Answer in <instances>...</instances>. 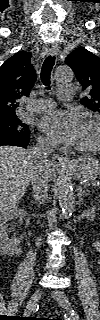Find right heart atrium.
I'll list each match as a JSON object with an SVG mask.
<instances>
[{
	"label": "right heart atrium",
	"mask_w": 100,
	"mask_h": 320,
	"mask_svg": "<svg viewBox=\"0 0 100 320\" xmlns=\"http://www.w3.org/2000/svg\"><path fill=\"white\" fill-rule=\"evenodd\" d=\"M39 141H40V143H42V144H48V143H49L48 139L45 138V137H39Z\"/></svg>",
	"instance_id": "1"
}]
</instances>
